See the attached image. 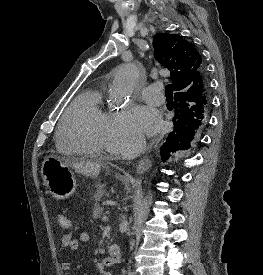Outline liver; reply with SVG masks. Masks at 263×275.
<instances>
[{
    "mask_svg": "<svg viewBox=\"0 0 263 275\" xmlns=\"http://www.w3.org/2000/svg\"><path fill=\"white\" fill-rule=\"evenodd\" d=\"M65 164L87 177H97L101 171L100 163L94 161H66Z\"/></svg>",
    "mask_w": 263,
    "mask_h": 275,
    "instance_id": "obj_1",
    "label": "liver"
}]
</instances>
